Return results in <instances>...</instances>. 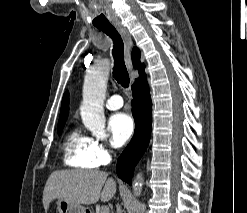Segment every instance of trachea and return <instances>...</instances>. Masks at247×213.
Returning a JSON list of instances; mask_svg holds the SVG:
<instances>
[{
    "mask_svg": "<svg viewBox=\"0 0 247 213\" xmlns=\"http://www.w3.org/2000/svg\"><path fill=\"white\" fill-rule=\"evenodd\" d=\"M96 27L102 30L113 40V77L120 85H122L124 88H127L129 86L130 79L124 62V43L120 34L110 23L102 24Z\"/></svg>",
    "mask_w": 247,
    "mask_h": 213,
    "instance_id": "3493384b",
    "label": "trachea"
}]
</instances>
